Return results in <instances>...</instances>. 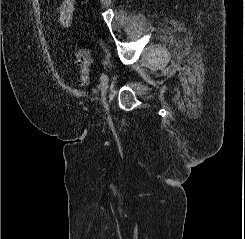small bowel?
I'll list each match as a JSON object with an SVG mask.
<instances>
[{"label": "small bowel", "mask_w": 245, "mask_h": 239, "mask_svg": "<svg viewBox=\"0 0 245 239\" xmlns=\"http://www.w3.org/2000/svg\"><path fill=\"white\" fill-rule=\"evenodd\" d=\"M75 14V0H62L58 7V19L62 26L69 27Z\"/></svg>", "instance_id": "c3829d8e"}]
</instances>
